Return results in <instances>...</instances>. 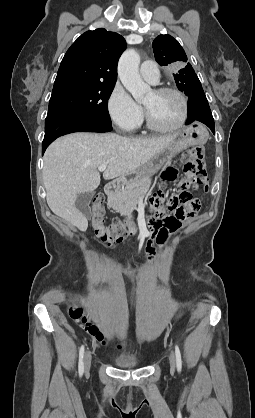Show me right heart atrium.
<instances>
[{"instance_id": "obj_1", "label": "right heart atrium", "mask_w": 255, "mask_h": 418, "mask_svg": "<svg viewBox=\"0 0 255 418\" xmlns=\"http://www.w3.org/2000/svg\"><path fill=\"white\" fill-rule=\"evenodd\" d=\"M107 112L111 121L123 132L135 130L143 119L141 106L121 85H116L111 91L107 100Z\"/></svg>"}]
</instances>
